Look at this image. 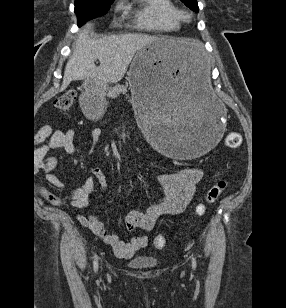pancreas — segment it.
<instances>
[{
    "instance_id": "1",
    "label": "pancreas",
    "mask_w": 286,
    "mask_h": 308,
    "mask_svg": "<svg viewBox=\"0 0 286 308\" xmlns=\"http://www.w3.org/2000/svg\"><path fill=\"white\" fill-rule=\"evenodd\" d=\"M127 93V87L123 85H116L113 88L108 89L107 96L109 98H116L120 94H126Z\"/></svg>"
}]
</instances>
